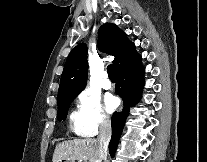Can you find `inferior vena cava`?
<instances>
[{
	"mask_svg": "<svg viewBox=\"0 0 207 162\" xmlns=\"http://www.w3.org/2000/svg\"><path fill=\"white\" fill-rule=\"evenodd\" d=\"M111 133V122L108 119H102L100 122L99 135L97 138L99 148V160H97L96 162L106 160L108 145L111 139Z\"/></svg>",
	"mask_w": 207,
	"mask_h": 162,
	"instance_id": "obj_1",
	"label": "inferior vena cava"
}]
</instances>
